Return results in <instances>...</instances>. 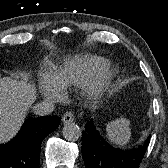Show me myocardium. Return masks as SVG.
Wrapping results in <instances>:
<instances>
[{
    "instance_id": "f54148a6",
    "label": "myocardium",
    "mask_w": 168,
    "mask_h": 168,
    "mask_svg": "<svg viewBox=\"0 0 168 168\" xmlns=\"http://www.w3.org/2000/svg\"><path fill=\"white\" fill-rule=\"evenodd\" d=\"M113 78L114 71L110 67L104 68L102 72L87 85L88 97L94 102L99 101Z\"/></svg>"
}]
</instances>
